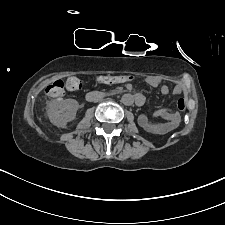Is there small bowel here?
Returning a JSON list of instances; mask_svg holds the SVG:
<instances>
[{"label": "small bowel", "mask_w": 225, "mask_h": 225, "mask_svg": "<svg viewBox=\"0 0 225 225\" xmlns=\"http://www.w3.org/2000/svg\"><path fill=\"white\" fill-rule=\"evenodd\" d=\"M148 83L152 87H157L160 84V81L157 78H150L148 79ZM174 94L181 95L184 92V89L181 85L175 86L173 89ZM161 93L163 95H168L170 93V89L167 85L161 86ZM142 95L141 93H138ZM144 98V96H143ZM155 118H161L164 121L159 122L156 121ZM181 121L180 114L171 109H159L157 110L153 118H150L147 114H141L139 117L140 125L149 133L153 134H165L174 128H176Z\"/></svg>", "instance_id": "c3829d8e"}]
</instances>
